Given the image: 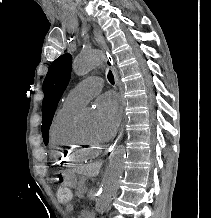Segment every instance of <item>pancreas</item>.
<instances>
[{
    "mask_svg": "<svg viewBox=\"0 0 211 218\" xmlns=\"http://www.w3.org/2000/svg\"><path fill=\"white\" fill-rule=\"evenodd\" d=\"M83 187H86V186H84V184H80V186H78L76 196H81V198H82V194L86 193V192H83V190H82Z\"/></svg>",
    "mask_w": 211,
    "mask_h": 218,
    "instance_id": "cf45deb5",
    "label": "pancreas"
}]
</instances>
